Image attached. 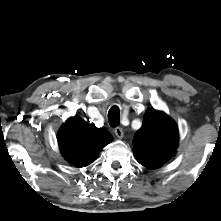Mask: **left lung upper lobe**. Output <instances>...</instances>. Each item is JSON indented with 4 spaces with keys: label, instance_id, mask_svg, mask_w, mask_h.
Masks as SVG:
<instances>
[{
    "label": "left lung upper lobe",
    "instance_id": "left-lung-upper-lobe-1",
    "mask_svg": "<svg viewBox=\"0 0 221 221\" xmlns=\"http://www.w3.org/2000/svg\"><path fill=\"white\" fill-rule=\"evenodd\" d=\"M178 143V128L164 112L148 110L142 127L135 133L132 145L137 160L149 169L161 167L174 154Z\"/></svg>",
    "mask_w": 221,
    "mask_h": 221
}]
</instances>
